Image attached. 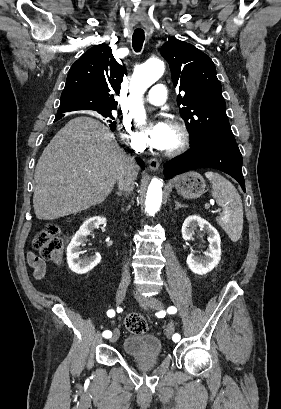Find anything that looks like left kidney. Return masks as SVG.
I'll list each match as a JSON object with an SVG mask.
<instances>
[{
    "mask_svg": "<svg viewBox=\"0 0 281 409\" xmlns=\"http://www.w3.org/2000/svg\"><path fill=\"white\" fill-rule=\"evenodd\" d=\"M196 227H200V229H204V231L208 233L210 245L207 251L203 253L205 257H195L193 253H190L186 263L192 273H196V275H206V273H210V271L218 265L221 259V239L218 231H216L208 221H205V219H202L199 215H190V217L185 219L182 225V237L184 241H191L193 229H196Z\"/></svg>",
    "mask_w": 281,
    "mask_h": 409,
    "instance_id": "obj_1",
    "label": "left kidney"
}]
</instances>
